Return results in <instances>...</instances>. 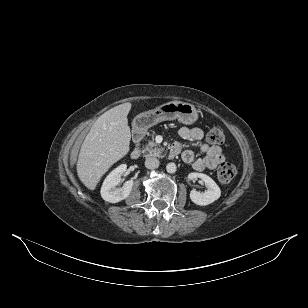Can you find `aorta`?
Listing matches in <instances>:
<instances>
[{"label": "aorta", "instance_id": "obj_1", "mask_svg": "<svg viewBox=\"0 0 308 308\" xmlns=\"http://www.w3.org/2000/svg\"><path fill=\"white\" fill-rule=\"evenodd\" d=\"M176 169H177V167H176L175 163H168L166 165V170H167L168 173H175Z\"/></svg>", "mask_w": 308, "mask_h": 308}]
</instances>
